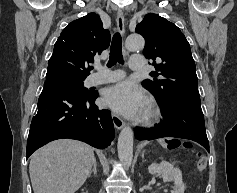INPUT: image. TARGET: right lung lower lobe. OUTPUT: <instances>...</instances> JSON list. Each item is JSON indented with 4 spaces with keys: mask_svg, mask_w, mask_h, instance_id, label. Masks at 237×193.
<instances>
[{
    "mask_svg": "<svg viewBox=\"0 0 237 193\" xmlns=\"http://www.w3.org/2000/svg\"><path fill=\"white\" fill-rule=\"evenodd\" d=\"M97 92L77 95L59 86H47L38 100L27 140L26 158L46 143L69 138L103 149L114 139V126L109 110L94 102Z\"/></svg>",
    "mask_w": 237,
    "mask_h": 193,
    "instance_id": "98d812e1",
    "label": "right lung lower lobe"
}]
</instances>
